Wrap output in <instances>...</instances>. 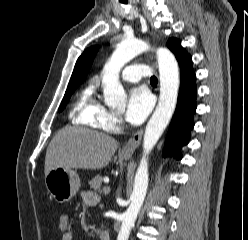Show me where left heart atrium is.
Listing matches in <instances>:
<instances>
[{"mask_svg": "<svg viewBox=\"0 0 248 240\" xmlns=\"http://www.w3.org/2000/svg\"><path fill=\"white\" fill-rule=\"evenodd\" d=\"M152 107L153 98L148 89L143 86L134 87L129 92L125 118L130 124L139 125L149 115Z\"/></svg>", "mask_w": 248, "mask_h": 240, "instance_id": "obj_1", "label": "left heart atrium"}]
</instances>
